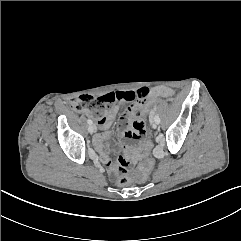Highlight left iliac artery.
<instances>
[{
    "mask_svg": "<svg viewBox=\"0 0 241 241\" xmlns=\"http://www.w3.org/2000/svg\"><path fill=\"white\" fill-rule=\"evenodd\" d=\"M154 114V111L152 112ZM154 120L159 124L160 123V118L158 115L154 116Z\"/></svg>",
    "mask_w": 241,
    "mask_h": 241,
    "instance_id": "44dca946",
    "label": "left iliac artery"
}]
</instances>
